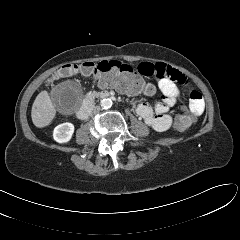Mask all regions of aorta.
I'll return each instance as SVG.
<instances>
[{"label":"aorta","mask_w":240,"mask_h":240,"mask_svg":"<svg viewBox=\"0 0 240 240\" xmlns=\"http://www.w3.org/2000/svg\"><path fill=\"white\" fill-rule=\"evenodd\" d=\"M100 104L102 108L109 109L112 107L113 102L110 98H104L101 100Z\"/></svg>","instance_id":"obj_1"}]
</instances>
